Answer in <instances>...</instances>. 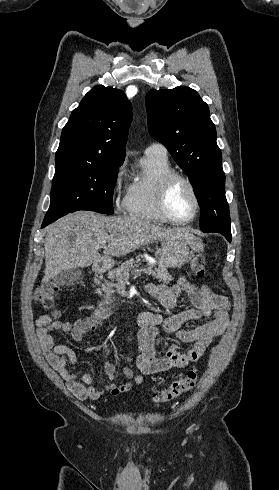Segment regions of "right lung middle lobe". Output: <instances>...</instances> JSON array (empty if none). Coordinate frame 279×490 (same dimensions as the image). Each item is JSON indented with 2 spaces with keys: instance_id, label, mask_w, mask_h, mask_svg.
Returning <instances> with one entry per match:
<instances>
[{
  "instance_id": "dd1d6c3e",
  "label": "right lung middle lobe",
  "mask_w": 279,
  "mask_h": 490,
  "mask_svg": "<svg viewBox=\"0 0 279 490\" xmlns=\"http://www.w3.org/2000/svg\"><path fill=\"white\" fill-rule=\"evenodd\" d=\"M123 162L56 166L50 207L43 223L77 210L113 214L112 196Z\"/></svg>"
}]
</instances>
